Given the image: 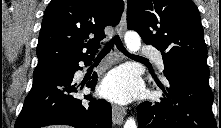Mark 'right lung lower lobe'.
I'll return each mask as SVG.
<instances>
[{
    "label": "right lung lower lobe",
    "mask_w": 221,
    "mask_h": 128,
    "mask_svg": "<svg viewBox=\"0 0 221 128\" xmlns=\"http://www.w3.org/2000/svg\"><path fill=\"white\" fill-rule=\"evenodd\" d=\"M90 64L91 60H83ZM79 61L70 62L60 68L33 78L32 88L16 120L15 128H40L63 124L75 128H111V105L105 100H95L85 95L88 105L73 97L77 86L74 73L80 70ZM97 74L87 86L94 90Z\"/></svg>",
    "instance_id": "obj_1"
}]
</instances>
